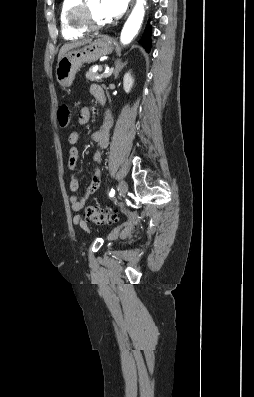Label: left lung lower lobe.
<instances>
[{
    "mask_svg": "<svg viewBox=\"0 0 254 397\" xmlns=\"http://www.w3.org/2000/svg\"><path fill=\"white\" fill-rule=\"evenodd\" d=\"M140 44L145 48L147 52L150 51V46H151V31H150V26L147 25L145 32L143 34V37L140 40Z\"/></svg>",
    "mask_w": 254,
    "mask_h": 397,
    "instance_id": "obj_1",
    "label": "left lung lower lobe"
}]
</instances>
